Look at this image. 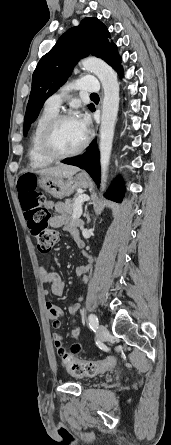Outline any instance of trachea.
<instances>
[{
  "mask_svg": "<svg viewBox=\"0 0 171 445\" xmlns=\"http://www.w3.org/2000/svg\"><path fill=\"white\" fill-rule=\"evenodd\" d=\"M90 96L91 97H98V94L97 93H92Z\"/></svg>",
  "mask_w": 171,
  "mask_h": 445,
  "instance_id": "trachea-1",
  "label": "trachea"
}]
</instances>
